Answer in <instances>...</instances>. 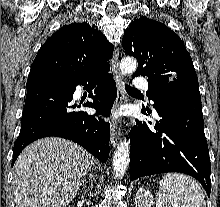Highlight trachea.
Segmentation results:
<instances>
[{
  "label": "trachea",
  "mask_w": 220,
  "mask_h": 207,
  "mask_svg": "<svg viewBox=\"0 0 220 207\" xmlns=\"http://www.w3.org/2000/svg\"><path fill=\"white\" fill-rule=\"evenodd\" d=\"M125 89H126L127 92H138L137 89L132 88V87H130V86H128V85H125Z\"/></svg>",
  "instance_id": "obj_1"
}]
</instances>
